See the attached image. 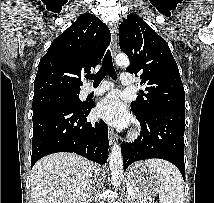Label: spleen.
I'll return each instance as SVG.
<instances>
[{
    "label": "spleen",
    "mask_w": 214,
    "mask_h": 203,
    "mask_svg": "<svg viewBox=\"0 0 214 203\" xmlns=\"http://www.w3.org/2000/svg\"><path fill=\"white\" fill-rule=\"evenodd\" d=\"M145 164L161 177L160 203H184L183 179L175 166L160 159H149Z\"/></svg>",
    "instance_id": "obj_1"
}]
</instances>
